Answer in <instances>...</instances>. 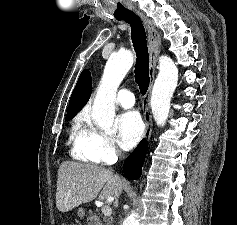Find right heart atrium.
<instances>
[{
  "label": "right heart atrium",
  "mask_w": 237,
  "mask_h": 225,
  "mask_svg": "<svg viewBox=\"0 0 237 225\" xmlns=\"http://www.w3.org/2000/svg\"><path fill=\"white\" fill-rule=\"evenodd\" d=\"M86 145L90 156L101 164H112L120 155L114 138L93 126L89 127Z\"/></svg>",
  "instance_id": "1"
}]
</instances>
